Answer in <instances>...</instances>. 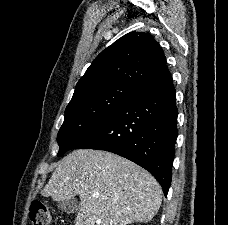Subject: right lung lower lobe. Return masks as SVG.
<instances>
[{"mask_svg":"<svg viewBox=\"0 0 228 225\" xmlns=\"http://www.w3.org/2000/svg\"><path fill=\"white\" fill-rule=\"evenodd\" d=\"M177 115L167 66L71 149L105 150L148 170L167 196L172 177Z\"/></svg>","mask_w":228,"mask_h":225,"instance_id":"obj_1","label":"right lung lower lobe"}]
</instances>
